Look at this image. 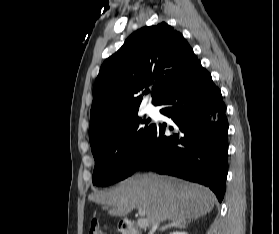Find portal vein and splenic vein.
<instances>
[{
  "label": "portal vein and splenic vein",
  "mask_w": 279,
  "mask_h": 234,
  "mask_svg": "<svg viewBox=\"0 0 279 234\" xmlns=\"http://www.w3.org/2000/svg\"><path fill=\"white\" fill-rule=\"evenodd\" d=\"M138 212L142 217L138 219L137 224L140 228H145L148 225V220L145 217H143L144 216L143 210L140 209Z\"/></svg>",
  "instance_id": "18ae733b"
}]
</instances>
